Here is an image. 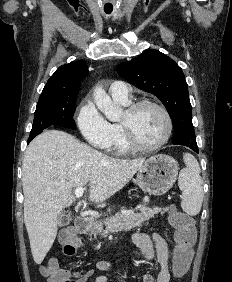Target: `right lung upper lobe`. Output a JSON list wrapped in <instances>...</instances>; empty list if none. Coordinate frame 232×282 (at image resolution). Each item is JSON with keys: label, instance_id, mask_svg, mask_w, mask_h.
I'll return each instance as SVG.
<instances>
[{"label": "right lung upper lobe", "instance_id": "cb5924a9", "mask_svg": "<svg viewBox=\"0 0 232 282\" xmlns=\"http://www.w3.org/2000/svg\"><path fill=\"white\" fill-rule=\"evenodd\" d=\"M88 75L85 61H73L60 66L49 78L41 96H63L78 94L80 82Z\"/></svg>", "mask_w": 232, "mask_h": 282}]
</instances>
